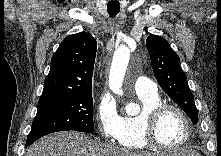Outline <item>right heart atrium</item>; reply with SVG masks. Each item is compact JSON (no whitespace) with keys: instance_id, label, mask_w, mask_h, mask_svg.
I'll use <instances>...</instances> for the list:
<instances>
[{"instance_id":"1","label":"right heart atrium","mask_w":221,"mask_h":156,"mask_svg":"<svg viewBox=\"0 0 221 156\" xmlns=\"http://www.w3.org/2000/svg\"><path fill=\"white\" fill-rule=\"evenodd\" d=\"M95 121L98 132L103 139L107 141L117 139L121 116L118 113L115 100L106 92L99 96L95 110Z\"/></svg>"}]
</instances>
